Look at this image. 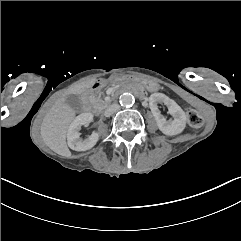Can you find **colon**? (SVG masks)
<instances>
[{"label": "colon", "instance_id": "obj_1", "mask_svg": "<svg viewBox=\"0 0 241 241\" xmlns=\"http://www.w3.org/2000/svg\"><path fill=\"white\" fill-rule=\"evenodd\" d=\"M186 116L192 127H199L203 124V118L192 107L186 108Z\"/></svg>", "mask_w": 241, "mask_h": 241}]
</instances>
